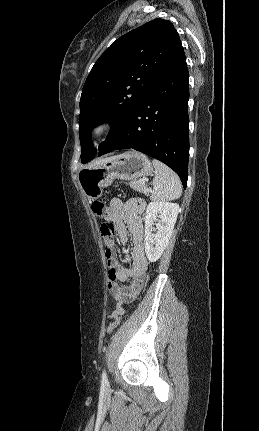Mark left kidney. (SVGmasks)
I'll list each match as a JSON object with an SVG mask.
<instances>
[{
    "label": "left kidney",
    "instance_id": "5707ae66",
    "mask_svg": "<svg viewBox=\"0 0 259 431\" xmlns=\"http://www.w3.org/2000/svg\"><path fill=\"white\" fill-rule=\"evenodd\" d=\"M178 212L179 205L176 203L154 201L147 206L144 245L150 262H156L161 257L171 238Z\"/></svg>",
    "mask_w": 259,
    "mask_h": 431
}]
</instances>
